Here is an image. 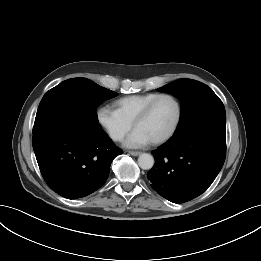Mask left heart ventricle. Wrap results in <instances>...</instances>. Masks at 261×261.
Segmentation results:
<instances>
[{
	"label": "left heart ventricle",
	"mask_w": 261,
	"mask_h": 261,
	"mask_svg": "<svg viewBox=\"0 0 261 261\" xmlns=\"http://www.w3.org/2000/svg\"><path fill=\"white\" fill-rule=\"evenodd\" d=\"M176 105L169 98L160 99L149 115L135 129L141 130L152 141L164 136L172 127L176 118Z\"/></svg>",
	"instance_id": "b2bd125f"
}]
</instances>
